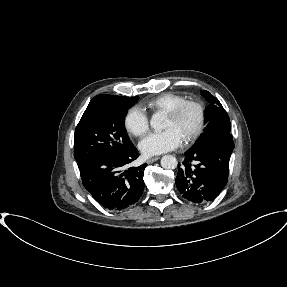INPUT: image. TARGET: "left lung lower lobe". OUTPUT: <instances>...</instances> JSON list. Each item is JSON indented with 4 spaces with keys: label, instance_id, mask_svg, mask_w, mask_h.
I'll return each instance as SVG.
<instances>
[{
    "label": "left lung lower lobe",
    "instance_id": "obj_1",
    "mask_svg": "<svg viewBox=\"0 0 287 287\" xmlns=\"http://www.w3.org/2000/svg\"><path fill=\"white\" fill-rule=\"evenodd\" d=\"M234 147L232 135L228 134L185 153V161L183 166L178 165L176 177V186L183 197L194 203L215 199L228 182L229 159Z\"/></svg>",
    "mask_w": 287,
    "mask_h": 287
}]
</instances>
